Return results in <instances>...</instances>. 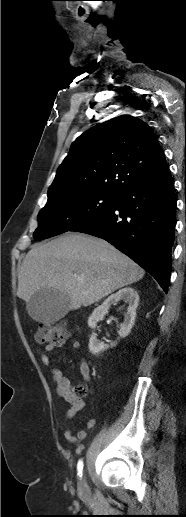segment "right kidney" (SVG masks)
I'll use <instances>...</instances> for the list:
<instances>
[{
	"instance_id": "1",
	"label": "right kidney",
	"mask_w": 186,
	"mask_h": 517,
	"mask_svg": "<svg viewBox=\"0 0 186 517\" xmlns=\"http://www.w3.org/2000/svg\"><path fill=\"white\" fill-rule=\"evenodd\" d=\"M120 300H123L125 303H127L128 307L124 315V321L120 325L118 334L119 338L128 336L135 323L136 309L139 303V295L137 291L131 287L123 288L115 294L110 295L100 306L94 309L93 313L88 319V326L92 329H95L97 322L104 318V316L108 313L110 306L116 305ZM116 344L117 342L111 343L110 346L104 344V342L99 341L96 335L92 333L89 340V350L92 354L98 355L100 352H103L107 348L116 346Z\"/></svg>"
}]
</instances>
